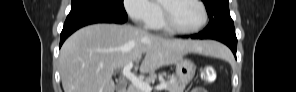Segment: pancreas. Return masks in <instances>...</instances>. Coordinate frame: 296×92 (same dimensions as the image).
<instances>
[{
	"instance_id": "1",
	"label": "pancreas",
	"mask_w": 296,
	"mask_h": 92,
	"mask_svg": "<svg viewBox=\"0 0 296 92\" xmlns=\"http://www.w3.org/2000/svg\"><path fill=\"white\" fill-rule=\"evenodd\" d=\"M164 76L165 75H159L158 78L161 83L167 84V87L165 88L167 92H184V89L186 87L185 84H180L179 81L174 76H168L167 77L168 80L164 81ZM155 79H157V76L151 75L150 77L145 79V82L152 83L153 81H155ZM131 92H143V91L138 87L133 86L131 88Z\"/></svg>"
}]
</instances>
